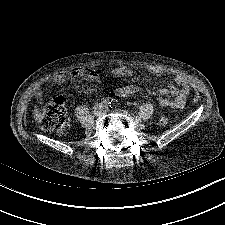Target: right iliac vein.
<instances>
[{
    "instance_id": "obj_1",
    "label": "right iliac vein",
    "mask_w": 225,
    "mask_h": 225,
    "mask_svg": "<svg viewBox=\"0 0 225 225\" xmlns=\"http://www.w3.org/2000/svg\"><path fill=\"white\" fill-rule=\"evenodd\" d=\"M102 106L101 105H97L95 108H94V115L95 116H100L102 114Z\"/></svg>"
}]
</instances>
